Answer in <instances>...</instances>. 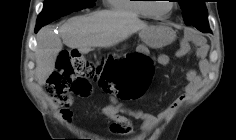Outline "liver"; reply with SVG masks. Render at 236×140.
I'll use <instances>...</instances> for the list:
<instances>
[{"instance_id":"liver-1","label":"liver","mask_w":236,"mask_h":140,"mask_svg":"<svg viewBox=\"0 0 236 140\" xmlns=\"http://www.w3.org/2000/svg\"><path fill=\"white\" fill-rule=\"evenodd\" d=\"M148 29L135 14L115 11L94 13L69 19L56 35L50 27L37 33L35 76L44 85L55 69V63L63 44L88 52L92 47H110L132 34ZM143 38V35L141 34Z\"/></svg>"}]
</instances>
